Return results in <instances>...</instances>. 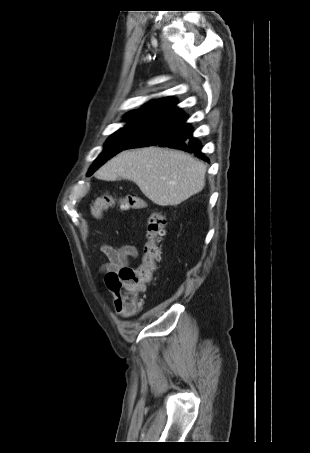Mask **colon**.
I'll return each mask as SVG.
<instances>
[{
    "label": "colon",
    "instance_id": "5ec220e1",
    "mask_svg": "<svg viewBox=\"0 0 310 453\" xmlns=\"http://www.w3.org/2000/svg\"><path fill=\"white\" fill-rule=\"evenodd\" d=\"M118 206L121 211L142 210L145 202L136 195L116 197L105 194L91 204V213L101 218L105 212ZM164 215L154 212L150 215L141 264L136 268H122L118 273L105 276V283L111 291L115 310L122 315H131L141 308L139 293L153 281L157 264L161 259V242L165 235Z\"/></svg>",
    "mask_w": 310,
    "mask_h": 453
}]
</instances>
